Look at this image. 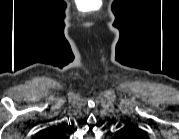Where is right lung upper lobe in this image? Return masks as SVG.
Returning a JSON list of instances; mask_svg holds the SVG:
<instances>
[{"mask_svg":"<svg viewBox=\"0 0 179 139\" xmlns=\"http://www.w3.org/2000/svg\"><path fill=\"white\" fill-rule=\"evenodd\" d=\"M50 136L65 137V134L59 126H51L38 133V137H50Z\"/></svg>","mask_w":179,"mask_h":139,"instance_id":"cb5924a9","label":"right lung upper lobe"}]
</instances>
